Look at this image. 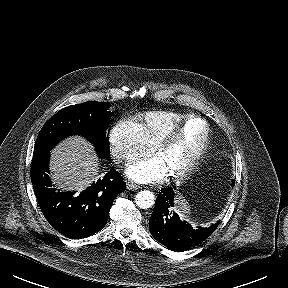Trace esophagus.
Returning a JSON list of instances; mask_svg holds the SVG:
<instances>
[{
	"label": "esophagus",
	"instance_id": "esophagus-1",
	"mask_svg": "<svg viewBox=\"0 0 288 288\" xmlns=\"http://www.w3.org/2000/svg\"><path fill=\"white\" fill-rule=\"evenodd\" d=\"M127 189L134 191V190L139 189V186L136 185V184H133V183L128 182V183H127Z\"/></svg>",
	"mask_w": 288,
	"mask_h": 288
}]
</instances>
